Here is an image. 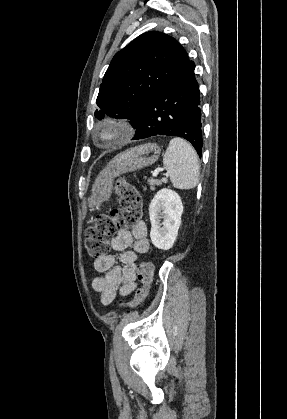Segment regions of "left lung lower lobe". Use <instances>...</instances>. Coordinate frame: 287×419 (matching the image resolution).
I'll return each instance as SVG.
<instances>
[{
	"instance_id": "obj_1",
	"label": "left lung lower lobe",
	"mask_w": 287,
	"mask_h": 419,
	"mask_svg": "<svg viewBox=\"0 0 287 419\" xmlns=\"http://www.w3.org/2000/svg\"><path fill=\"white\" fill-rule=\"evenodd\" d=\"M195 64L150 98L136 126L133 140L151 136H177L188 140L202 154V122Z\"/></svg>"
}]
</instances>
